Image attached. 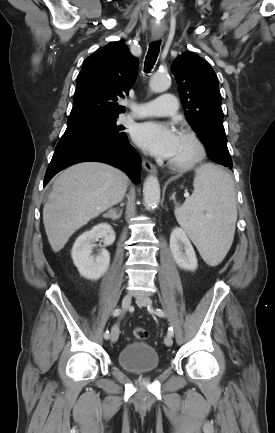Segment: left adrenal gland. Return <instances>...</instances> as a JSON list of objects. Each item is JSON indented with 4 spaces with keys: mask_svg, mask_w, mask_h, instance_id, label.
Listing matches in <instances>:
<instances>
[{
    "mask_svg": "<svg viewBox=\"0 0 275 433\" xmlns=\"http://www.w3.org/2000/svg\"><path fill=\"white\" fill-rule=\"evenodd\" d=\"M170 199L175 201V193H173Z\"/></svg>",
    "mask_w": 275,
    "mask_h": 433,
    "instance_id": "obj_1",
    "label": "left adrenal gland"
}]
</instances>
